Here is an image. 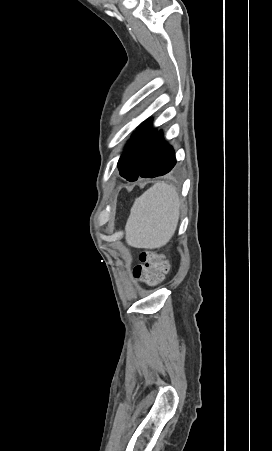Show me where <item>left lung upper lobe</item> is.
<instances>
[{"label":"left lung upper lobe","mask_w":272,"mask_h":451,"mask_svg":"<svg viewBox=\"0 0 272 451\" xmlns=\"http://www.w3.org/2000/svg\"><path fill=\"white\" fill-rule=\"evenodd\" d=\"M151 120L143 122L133 133L132 143L125 150L118 162L120 175L126 178L136 177L143 165L151 142L156 134L155 129H151Z\"/></svg>","instance_id":"left-lung-upper-lobe-1"}]
</instances>
